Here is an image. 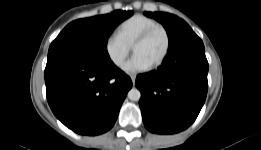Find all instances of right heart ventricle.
<instances>
[{
  "label": "right heart ventricle",
  "instance_id": "1",
  "mask_svg": "<svg viewBox=\"0 0 261 150\" xmlns=\"http://www.w3.org/2000/svg\"><path fill=\"white\" fill-rule=\"evenodd\" d=\"M159 24L155 19L142 15L135 14L124 21H122L117 27V35L120 39L132 47L135 40L151 26Z\"/></svg>",
  "mask_w": 261,
  "mask_h": 150
}]
</instances>
